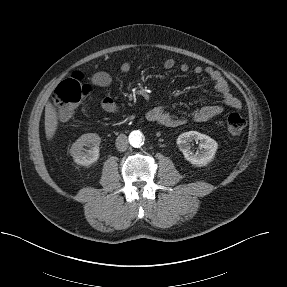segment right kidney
Wrapping results in <instances>:
<instances>
[{
  "label": "right kidney",
  "instance_id": "obj_1",
  "mask_svg": "<svg viewBox=\"0 0 287 287\" xmlns=\"http://www.w3.org/2000/svg\"><path fill=\"white\" fill-rule=\"evenodd\" d=\"M100 143L101 138L98 134H83L72 144L70 154L77 164L89 166L99 159ZM85 147H89V150Z\"/></svg>",
  "mask_w": 287,
  "mask_h": 287
}]
</instances>
